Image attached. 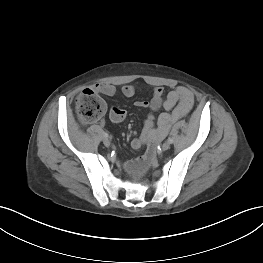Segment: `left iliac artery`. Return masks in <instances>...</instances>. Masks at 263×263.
Instances as JSON below:
<instances>
[{"mask_svg":"<svg viewBox=\"0 0 263 263\" xmlns=\"http://www.w3.org/2000/svg\"><path fill=\"white\" fill-rule=\"evenodd\" d=\"M168 142H169L170 144H172V143H173V138H172V137H169V138H168Z\"/></svg>","mask_w":263,"mask_h":263,"instance_id":"44dca946","label":"left iliac artery"}]
</instances>
